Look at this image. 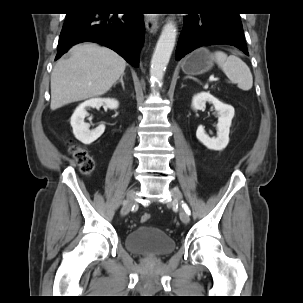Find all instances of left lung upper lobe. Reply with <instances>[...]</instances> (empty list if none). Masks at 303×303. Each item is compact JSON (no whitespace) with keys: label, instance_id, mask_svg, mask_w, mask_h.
Masks as SVG:
<instances>
[{"label":"left lung upper lobe","instance_id":"left-lung-upper-lobe-1","mask_svg":"<svg viewBox=\"0 0 303 303\" xmlns=\"http://www.w3.org/2000/svg\"><path fill=\"white\" fill-rule=\"evenodd\" d=\"M221 14L239 17V14H237V13H221Z\"/></svg>","mask_w":303,"mask_h":303}]
</instances>
